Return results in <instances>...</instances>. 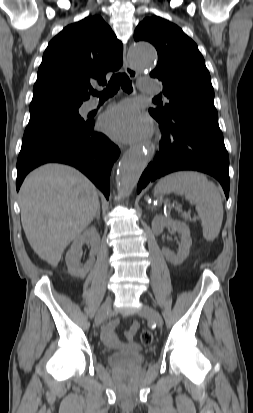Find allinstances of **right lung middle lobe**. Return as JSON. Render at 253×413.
I'll use <instances>...</instances> for the list:
<instances>
[{"mask_svg":"<svg viewBox=\"0 0 253 413\" xmlns=\"http://www.w3.org/2000/svg\"><path fill=\"white\" fill-rule=\"evenodd\" d=\"M78 108H61L30 113V120L22 143L84 127L87 122L80 117Z\"/></svg>","mask_w":253,"mask_h":413,"instance_id":"dd1d6c3e","label":"right lung middle lobe"}]
</instances>
